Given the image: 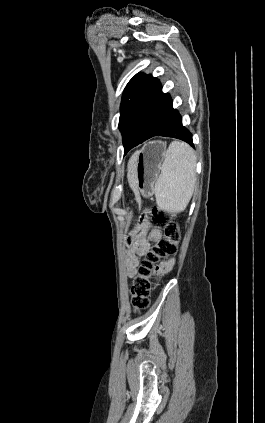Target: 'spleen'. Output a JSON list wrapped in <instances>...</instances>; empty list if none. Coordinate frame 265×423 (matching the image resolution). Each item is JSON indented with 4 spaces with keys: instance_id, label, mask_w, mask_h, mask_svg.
<instances>
[{
    "instance_id": "3e777b00",
    "label": "spleen",
    "mask_w": 265,
    "mask_h": 423,
    "mask_svg": "<svg viewBox=\"0 0 265 423\" xmlns=\"http://www.w3.org/2000/svg\"><path fill=\"white\" fill-rule=\"evenodd\" d=\"M196 158L193 149L173 141L166 151L161 174L154 185L157 206L169 213L185 210L196 183Z\"/></svg>"
}]
</instances>
